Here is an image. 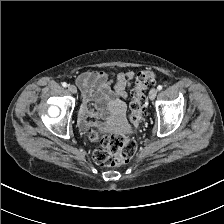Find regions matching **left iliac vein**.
Listing matches in <instances>:
<instances>
[{
    "label": "left iliac vein",
    "instance_id": "1",
    "mask_svg": "<svg viewBox=\"0 0 224 224\" xmlns=\"http://www.w3.org/2000/svg\"><path fill=\"white\" fill-rule=\"evenodd\" d=\"M158 90L156 88H152L149 92V99L154 100L157 95Z\"/></svg>",
    "mask_w": 224,
    "mask_h": 224
}]
</instances>
